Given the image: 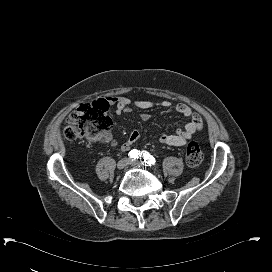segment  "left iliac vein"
I'll use <instances>...</instances> for the list:
<instances>
[{"instance_id":"4c4485c4","label":"left iliac vein","mask_w":272,"mask_h":272,"mask_svg":"<svg viewBox=\"0 0 272 272\" xmlns=\"http://www.w3.org/2000/svg\"><path fill=\"white\" fill-rule=\"evenodd\" d=\"M130 164L133 166H141L142 162L138 161V160H131Z\"/></svg>"}]
</instances>
